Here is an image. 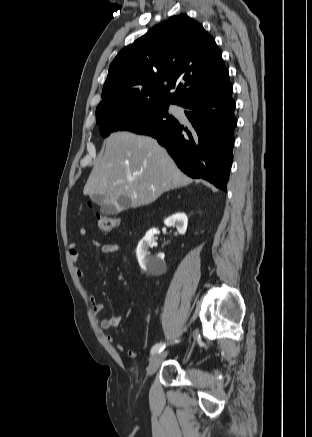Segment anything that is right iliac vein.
Returning <instances> with one entry per match:
<instances>
[{
    "instance_id": "1",
    "label": "right iliac vein",
    "mask_w": 312,
    "mask_h": 437,
    "mask_svg": "<svg viewBox=\"0 0 312 437\" xmlns=\"http://www.w3.org/2000/svg\"><path fill=\"white\" fill-rule=\"evenodd\" d=\"M167 356V351L156 353L153 358L151 359L149 366H148V374L153 375L157 369L159 368L162 361Z\"/></svg>"
}]
</instances>
